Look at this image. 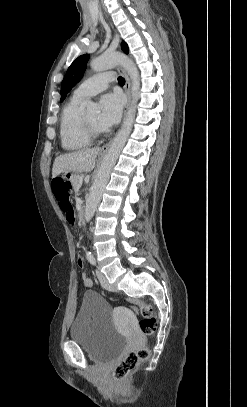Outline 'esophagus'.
Here are the masks:
<instances>
[{"label": "esophagus", "instance_id": "esophagus-1", "mask_svg": "<svg viewBox=\"0 0 247 407\" xmlns=\"http://www.w3.org/2000/svg\"><path fill=\"white\" fill-rule=\"evenodd\" d=\"M117 71L120 72L123 75V77L125 78L124 89H125V92H126V95H127V104H126L125 109H124V117H125L126 113L128 111L129 105H130V101H131V97H130V80H129V77H128L126 71L122 67L118 66ZM111 143H112V140H110L108 143L103 145L100 150L101 151H107L109 149Z\"/></svg>", "mask_w": 247, "mask_h": 407}]
</instances>
